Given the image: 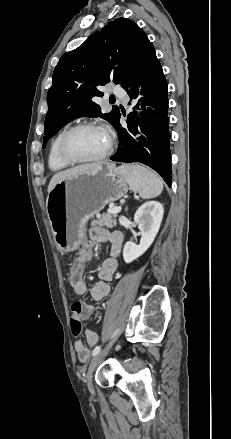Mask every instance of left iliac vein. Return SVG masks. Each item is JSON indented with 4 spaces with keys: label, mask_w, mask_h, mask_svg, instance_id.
<instances>
[{
    "label": "left iliac vein",
    "mask_w": 231,
    "mask_h": 439,
    "mask_svg": "<svg viewBox=\"0 0 231 439\" xmlns=\"http://www.w3.org/2000/svg\"><path fill=\"white\" fill-rule=\"evenodd\" d=\"M108 352V348L104 349L103 351L99 352L97 355H95L88 367V371L86 374V384L88 387L89 392L93 395L94 394V387H93V383H92V379H93V375L95 372V369L97 368V366L99 365V363L101 362L102 358L107 354Z\"/></svg>",
    "instance_id": "obj_1"
}]
</instances>
